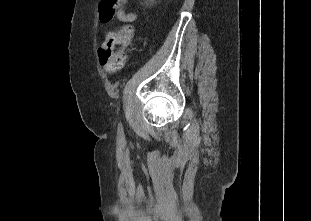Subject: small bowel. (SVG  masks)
<instances>
[{
	"label": "small bowel",
	"instance_id": "1",
	"mask_svg": "<svg viewBox=\"0 0 311 221\" xmlns=\"http://www.w3.org/2000/svg\"><path fill=\"white\" fill-rule=\"evenodd\" d=\"M116 17L122 22L131 23L137 20L138 15L134 11H127L125 8H119L117 10Z\"/></svg>",
	"mask_w": 311,
	"mask_h": 221
}]
</instances>
